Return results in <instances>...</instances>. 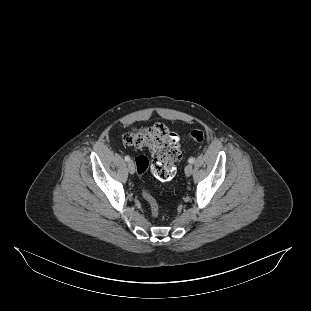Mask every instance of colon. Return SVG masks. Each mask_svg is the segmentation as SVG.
Wrapping results in <instances>:
<instances>
[{
    "label": "colon",
    "instance_id": "obj_1",
    "mask_svg": "<svg viewBox=\"0 0 311 311\" xmlns=\"http://www.w3.org/2000/svg\"><path fill=\"white\" fill-rule=\"evenodd\" d=\"M190 139L194 142H201L204 139V133L199 129H194L190 133ZM122 140L128 146L145 147L154 155L151 163L144 155L136 158L137 173L140 177L149 167L153 175L161 181H169L175 176L174 163L181 158V152L176 134L165 125L157 123L150 127H138L126 133ZM142 194L149 203L152 216L157 218L159 215L157 201L145 188H142Z\"/></svg>",
    "mask_w": 311,
    "mask_h": 311
}]
</instances>
